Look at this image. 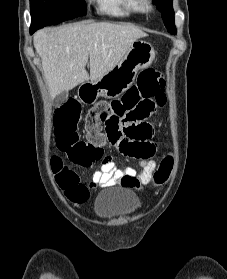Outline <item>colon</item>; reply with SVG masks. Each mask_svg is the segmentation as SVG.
Wrapping results in <instances>:
<instances>
[{
    "label": "colon",
    "instance_id": "1",
    "mask_svg": "<svg viewBox=\"0 0 227 279\" xmlns=\"http://www.w3.org/2000/svg\"><path fill=\"white\" fill-rule=\"evenodd\" d=\"M165 80L163 74L153 69L138 73L136 84L120 97L101 100L91 107L86 114L88 141L80 138L78 123L82 108L78 101L70 100L54 114V135L60 151L68 160L78 166L88 167L103 155L105 127L109 138H116L124 132L132 143L127 145V154L134 159H148L155 153V146L150 142L154 129L150 124H136L152 116L157 108L166 103L163 92ZM52 170L59 176L62 189L69 196H75L82 190L83 184L76 172L69 169L60 156L51 158ZM173 159L166 157L161 161L154 174L157 184L165 183L171 174ZM131 185H139L132 179Z\"/></svg>",
    "mask_w": 227,
    "mask_h": 279
}]
</instances>
